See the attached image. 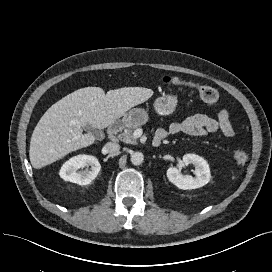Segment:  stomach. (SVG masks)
<instances>
[{
  "label": "stomach",
  "instance_id": "obj_1",
  "mask_svg": "<svg viewBox=\"0 0 272 272\" xmlns=\"http://www.w3.org/2000/svg\"><path fill=\"white\" fill-rule=\"evenodd\" d=\"M177 97L172 94H163L154 101L155 111L162 116L172 114L177 107ZM147 111L142 108H133L119 117V122L123 126H141L148 121Z\"/></svg>",
  "mask_w": 272,
  "mask_h": 272
}]
</instances>
